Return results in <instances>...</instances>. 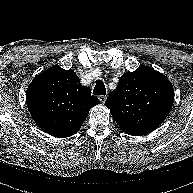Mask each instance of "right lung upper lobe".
Here are the masks:
<instances>
[{
    "mask_svg": "<svg viewBox=\"0 0 193 193\" xmlns=\"http://www.w3.org/2000/svg\"><path fill=\"white\" fill-rule=\"evenodd\" d=\"M26 103L35 123L55 137H69L81 127L89 110L99 104L76 73L53 66L27 88Z\"/></svg>",
    "mask_w": 193,
    "mask_h": 193,
    "instance_id": "right-lung-upper-lobe-1",
    "label": "right lung upper lobe"
}]
</instances>
